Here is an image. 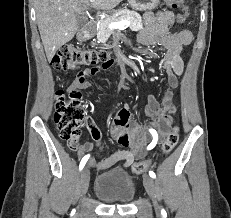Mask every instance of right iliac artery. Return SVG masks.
<instances>
[{"label":"right iliac artery","mask_w":231,"mask_h":218,"mask_svg":"<svg viewBox=\"0 0 231 218\" xmlns=\"http://www.w3.org/2000/svg\"><path fill=\"white\" fill-rule=\"evenodd\" d=\"M89 158V155H86L85 157L82 158L81 162H80V166H79V169L82 170L83 167L85 166L87 160Z\"/></svg>","instance_id":"82829eb1"}]
</instances>
